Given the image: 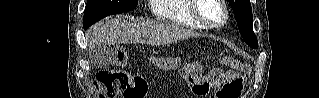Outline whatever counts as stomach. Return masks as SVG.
Segmentation results:
<instances>
[{"instance_id":"1","label":"stomach","mask_w":319,"mask_h":98,"mask_svg":"<svg viewBox=\"0 0 319 98\" xmlns=\"http://www.w3.org/2000/svg\"><path fill=\"white\" fill-rule=\"evenodd\" d=\"M181 76L190 87V92L196 96H201L200 86L202 81L200 80L199 73L191 68H184Z\"/></svg>"}]
</instances>
